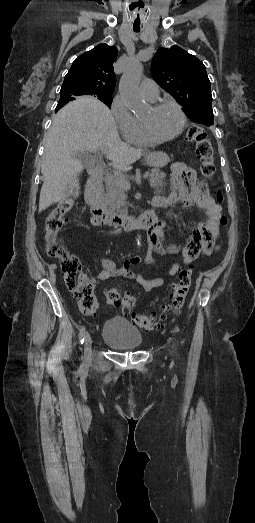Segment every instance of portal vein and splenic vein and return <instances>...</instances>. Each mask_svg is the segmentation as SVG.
Instances as JSON below:
<instances>
[{"instance_id": "obj_1", "label": "portal vein and splenic vein", "mask_w": 255, "mask_h": 523, "mask_svg": "<svg viewBox=\"0 0 255 523\" xmlns=\"http://www.w3.org/2000/svg\"><path fill=\"white\" fill-rule=\"evenodd\" d=\"M108 173L114 174V175H123L125 173V170L123 168H116V166H111V170H108ZM149 177V174L147 172H142L140 174L139 180L146 181V179ZM123 188L124 190H127V192H132V187L130 186V182H126L124 180L123 182Z\"/></svg>"}]
</instances>
